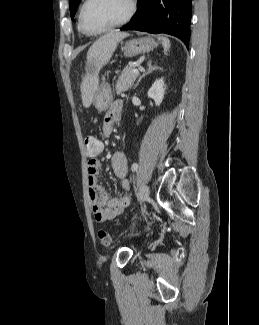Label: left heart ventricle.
<instances>
[{"instance_id": "1", "label": "left heart ventricle", "mask_w": 259, "mask_h": 325, "mask_svg": "<svg viewBox=\"0 0 259 325\" xmlns=\"http://www.w3.org/2000/svg\"><path fill=\"white\" fill-rule=\"evenodd\" d=\"M129 0H92L84 11L87 29L98 31L109 27L125 17Z\"/></svg>"}]
</instances>
